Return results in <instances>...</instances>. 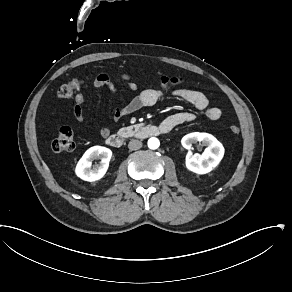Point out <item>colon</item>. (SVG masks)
Returning a JSON list of instances; mask_svg holds the SVG:
<instances>
[{
  "label": "colon",
  "instance_id": "1",
  "mask_svg": "<svg viewBox=\"0 0 292 292\" xmlns=\"http://www.w3.org/2000/svg\"><path fill=\"white\" fill-rule=\"evenodd\" d=\"M91 77L87 79L72 80L63 85L59 90V98L63 101L70 99L75 92L86 86ZM184 77H161L157 80V86L161 89L178 88L184 86ZM232 134H238L239 128L236 125L230 126ZM74 148V133L70 129H62L53 140V150L58 153L69 152Z\"/></svg>",
  "mask_w": 292,
  "mask_h": 292
}]
</instances>
